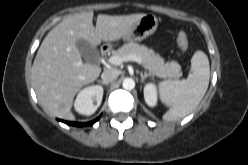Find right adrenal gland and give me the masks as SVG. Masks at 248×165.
<instances>
[{
    "label": "right adrenal gland",
    "instance_id": "1",
    "mask_svg": "<svg viewBox=\"0 0 248 165\" xmlns=\"http://www.w3.org/2000/svg\"><path fill=\"white\" fill-rule=\"evenodd\" d=\"M99 83H101L102 85H108L107 82H104V81H101V80H98Z\"/></svg>",
    "mask_w": 248,
    "mask_h": 165
}]
</instances>
